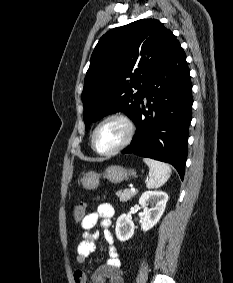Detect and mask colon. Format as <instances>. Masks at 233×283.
I'll return each instance as SVG.
<instances>
[{
	"label": "colon",
	"instance_id": "5ec220e1",
	"mask_svg": "<svg viewBox=\"0 0 233 283\" xmlns=\"http://www.w3.org/2000/svg\"><path fill=\"white\" fill-rule=\"evenodd\" d=\"M86 204L84 202L78 203L73 210V220L76 224H82L85 218Z\"/></svg>",
	"mask_w": 233,
	"mask_h": 283
}]
</instances>
